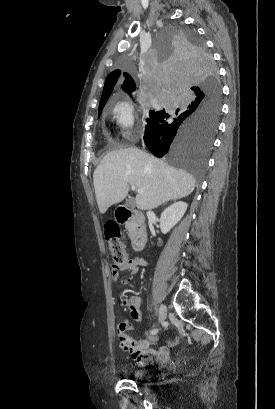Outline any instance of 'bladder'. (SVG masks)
I'll use <instances>...</instances> for the list:
<instances>
[{"label":"bladder","instance_id":"bladder-1","mask_svg":"<svg viewBox=\"0 0 275 409\" xmlns=\"http://www.w3.org/2000/svg\"><path fill=\"white\" fill-rule=\"evenodd\" d=\"M129 376L135 382H146L149 379L145 368H132L129 370Z\"/></svg>","mask_w":275,"mask_h":409}]
</instances>
